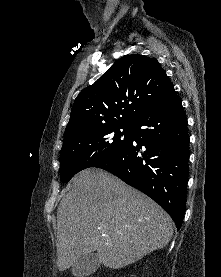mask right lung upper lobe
<instances>
[{
	"instance_id": "obj_1",
	"label": "right lung upper lobe",
	"mask_w": 221,
	"mask_h": 277,
	"mask_svg": "<svg viewBox=\"0 0 221 277\" xmlns=\"http://www.w3.org/2000/svg\"><path fill=\"white\" fill-rule=\"evenodd\" d=\"M173 90L156 59L139 54L121 58L77 96L64 141L101 125H132Z\"/></svg>"
}]
</instances>
